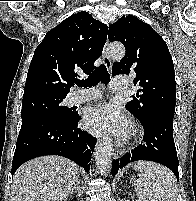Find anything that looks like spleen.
Here are the masks:
<instances>
[{"instance_id": "3e777b00", "label": "spleen", "mask_w": 196, "mask_h": 201, "mask_svg": "<svg viewBox=\"0 0 196 201\" xmlns=\"http://www.w3.org/2000/svg\"><path fill=\"white\" fill-rule=\"evenodd\" d=\"M134 169L140 172L135 183L138 201H176V178L168 168L139 161L134 164Z\"/></svg>"}]
</instances>
